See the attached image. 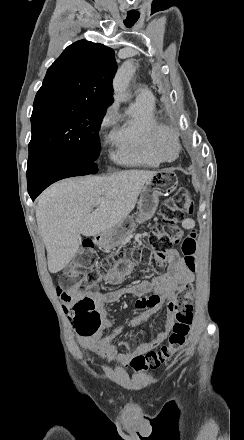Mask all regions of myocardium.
<instances>
[{
	"label": "myocardium",
	"mask_w": 244,
	"mask_h": 440,
	"mask_svg": "<svg viewBox=\"0 0 244 440\" xmlns=\"http://www.w3.org/2000/svg\"><path fill=\"white\" fill-rule=\"evenodd\" d=\"M154 135L153 140L156 142L153 143L152 150L156 151L157 157L160 160L169 163L175 161L178 158L181 150L179 134L170 128H162L160 132H156ZM166 137L171 138L174 144L173 154L171 156H168L161 148L163 138Z\"/></svg>",
	"instance_id": "myocardium-1"
}]
</instances>
